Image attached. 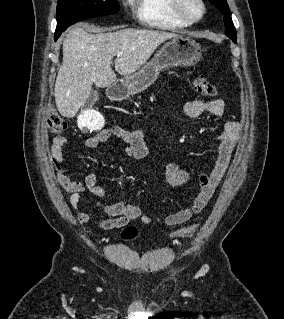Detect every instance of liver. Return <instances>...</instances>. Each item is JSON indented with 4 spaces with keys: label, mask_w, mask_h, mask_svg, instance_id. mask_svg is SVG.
Masks as SVG:
<instances>
[{
    "label": "liver",
    "mask_w": 284,
    "mask_h": 319,
    "mask_svg": "<svg viewBox=\"0 0 284 319\" xmlns=\"http://www.w3.org/2000/svg\"><path fill=\"white\" fill-rule=\"evenodd\" d=\"M90 34L81 27L69 30L63 39V61L55 82L54 96L59 113L71 118L85 104L93 83L108 87L120 75L139 70L155 49L175 33L146 29H121ZM115 59V71L111 60Z\"/></svg>",
    "instance_id": "obj_1"
}]
</instances>
